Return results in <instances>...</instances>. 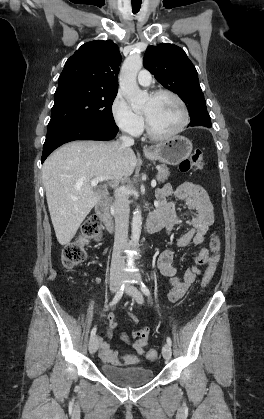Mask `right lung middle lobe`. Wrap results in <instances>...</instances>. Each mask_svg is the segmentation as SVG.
<instances>
[{
    "label": "right lung middle lobe",
    "instance_id": "right-lung-middle-lobe-1",
    "mask_svg": "<svg viewBox=\"0 0 264 419\" xmlns=\"http://www.w3.org/2000/svg\"><path fill=\"white\" fill-rule=\"evenodd\" d=\"M116 95L79 84L58 87L46 137L74 124H115L112 104Z\"/></svg>",
    "mask_w": 264,
    "mask_h": 419
}]
</instances>
